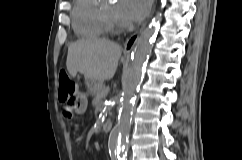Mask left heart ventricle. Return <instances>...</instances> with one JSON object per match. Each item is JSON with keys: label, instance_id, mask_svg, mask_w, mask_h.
Instances as JSON below:
<instances>
[{"label": "left heart ventricle", "instance_id": "left-heart-ventricle-1", "mask_svg": "<svg viewBox=\"0 0 242 160\" xmlns=\"http://www.w3.org/2000/svg\"><path fill=\"white\" fill-rule=\"evenodd\" d=\"M101 8L105 11V13L107 14V16L109 17V19L116 25L118 26H122L123 24H121V22L118 20V18L116 17V13H115V3L112 2H105Z\"/></svg>", "mask_w": 242, "mask_h": 160}]
</instances>
